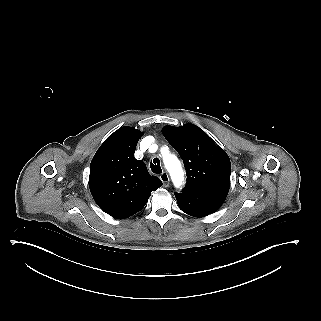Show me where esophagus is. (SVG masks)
<instances>
[{"label": "esophagus", "mask_w": 321, "mask_h": 321, "mask_svg": "<svg viewBox=\"0 0 321 321\" xmlns=\"http://www.w3.org/2000/svg\"><path fill=\"white\" fill-rule=\"evenodd\" d=\"M160 179L164 183V187H167L168 182H169V175L166 172H163L160 175Z\"/></svg>", "instance_id": "obj_1"}]
</instances>
